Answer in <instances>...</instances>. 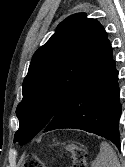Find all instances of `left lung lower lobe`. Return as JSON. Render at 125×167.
<instances>
[{
    "label": "left lung lower lobe",
    "mask_w": 125,
    "mask_h": 167,
    "mask_svg": "<svg viewBox=\"0 0 125 167\" xmlns=\"http://www.w3.org/2000/svg\"><path fill=\"white\" fill-rule=\"evenodd\" d=\"M119 93L118 71L107 38L88 76L43 131L81 129L102 136L120 148Z\"/></svg>",
    "instance_id": "0a47b994"
}]
</instances>
